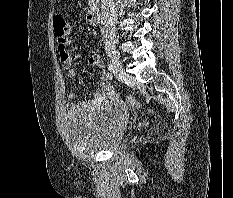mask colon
Returning <instances> with one entry per match:
<instances>
[{"label":"colon","instance_id":"5ec220e1","mask_svg":"<svg viewBox=\"0 0 233 198\" xmlns=\"http://www.w3.org/2000/svg\"><path fill=\"white\" fill-rule=\"evenodd\" d=\"M54 33L58 41H65L70 34L69 26L62 16H55L53 19ZM127 104L133 107H140V103L133 97L127 96L125 98Z\"/></svg>","mask_w":233,"mask_h":198}]
</instances>
